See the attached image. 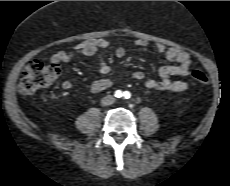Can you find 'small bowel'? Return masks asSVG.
<instances>
[{"mask_svg":"<svg viewBox=\"0 0 230 186\" xmlns=\"http://www.w3.org/2000/svg\"><path fill=\"white\" fill-rule=\"evenodd\" d=\"M109 42L106 39L96 38L84 41L78 44L71 52L58 51L50 57V61L53 63H67L75 56L96 57L98 59V70L102 75H108L111 71L109 64L104 60L100 53L101 49L107 48ZM138 47H145L147 42L143 39H139L135 43ZM156 51L163 55L167 60L173 62L161 66L158 71V79H147L145 81V87L149 90L158 91H170V92H182L188 89V83L186 81H173L172 76H186L189 75L192 65L191 56L187 51L180 50L177 47H167L162 43L156 45ZM117 58H124L126 50L123 47H119L115 50ZM135 80H144L145 74L141 71H136L132 74ZM113 85V80L104 77L91 83L90 90L94 93L101 92L109 89ZM62 88L64 90H71L73 84L71 81L65 80L62 82Z\"/></svg>","mask_w":230,"mask_h":186,"instance_id":"obj_1","label":"small bowel"}]
</instances>
